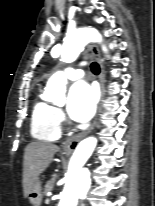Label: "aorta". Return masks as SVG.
<instances>
[{"label": "aorta", "mask_w": 155, "mask_h": 206, "mask_svg": "<svg viewBox=\"0 0 155 206\" xmlns=\"http://www.w3.org/2000/svg\"><path fill=\"white\" fill-rule=\"evenodd\" d=\"M101 41L102 36L93 28H78L69 32L62 46L61 60L73 62L83 51L86 44ZM102 49L107 52L105 46H102ZM66 83L67 78L63 72L53 74L45 88L46 98L54 104L63 103L65 101ZM96 145L97 139L88 137L76 147L69 162L67 179L58 206H77L80 199L86 197L90 188V173L84 165L92 155Z\"/></svg>", "instance_id": "aorta-1"}]
</instances>
